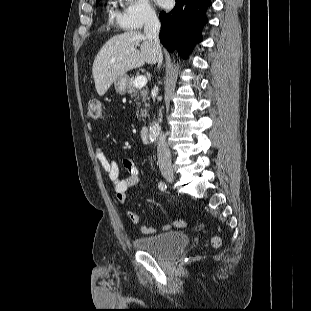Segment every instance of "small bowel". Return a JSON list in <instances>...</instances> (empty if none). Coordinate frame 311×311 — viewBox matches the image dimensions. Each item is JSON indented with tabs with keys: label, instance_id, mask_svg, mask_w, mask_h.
Returning <instances> with one entry per match:
<instances>
[{
	"label": "small bowel",
	"instance_id": "small-bowel-1",
	"mask_svg": "<svg viewBox=\"0 0 311 311\" xmlns=\"http://www.w3.org/2000/svg\"><path fill=\"white\" fill-rule=\"evenodd\" d=\"M89 130L92 132L91 126H89ZM95 156L99 161L102 169L106 172L109 181L112 183L113 190L116 193L118 201L124 204L128 198L127 191L131 187L141 184L139 170L135 162L130 159L123 160V165L127 169L128 174L121 178L117 163L109 159L97 143H95ZM126 213L130 221L133 223H139L141 221V216L139 214L130 210H127ZM174 225L177 227H184L186 225V221L175 220ZM170 228L171 226L169 224H164L161 226L162 231H168ZM141 232L143 234H153L156 232V230L152 227L141 226Z\"/></svg>",
	"mask_w": 311,
	"mask_h": 311
}]
</instances>
